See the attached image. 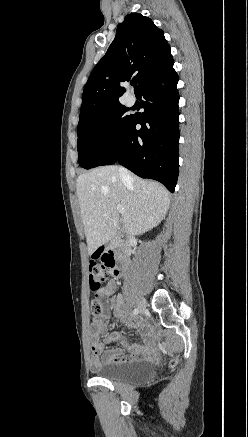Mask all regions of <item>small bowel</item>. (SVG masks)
I'll return each instance as SVG.
<instances>
[{
    "label": "small bowel",
    "mask_w": 248,
    "mask_h": 437,
    "mask_svg": "<svg viewBox=\"0 0 248 437\" xmlns=\"http://www.w3.org/2000/svg\"><path fill=\"white\" fill-rule=\"evenodd\" d=\"M117 288L114 281H109L106 285H101V288L96 291V298L105 305L106 308L115 306L118 311L122 305L120 296L113 297L116 294ZM109 315L103 314L97 317L90 330L91 336V352L90 367L92 370H97L101 365L99 355L103 353V361L110 363H121L137 359L149 358L154 353V349L150 342V332L144 321H140L137 326L140 328L145 344H129L121 334L112 333L107 337V341H118L123 344L127 350V354H123L120 348H111L104 352L103 342L100 340V334L107 329Z\"/></svg>",
    "instance_id": "obj_1"
}]
</instances>
